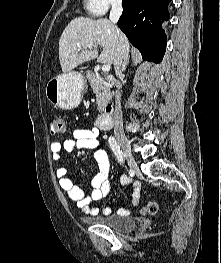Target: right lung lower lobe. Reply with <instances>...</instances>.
Masks as SVG:
<instances>
[{"instance_id":"1","label":"right lung lower lobe","mask_w":221,"mask_h":263,"mask_svg":"<svg viewBox=\"0 0 221 263\" xmlns=\"http://www.w3.org/2000/svg\"><path fill=\"white\" fill-rule=\"evenodd\" d=\"M171 0H123L118 27L146 61L159 63L166 50L167 38L161 20H168Z\"/></svg>"}]
</instances>
